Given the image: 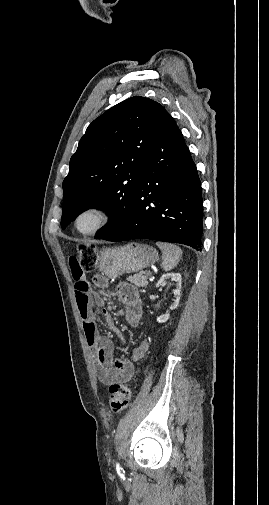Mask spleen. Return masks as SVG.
Returning a JSON list of instances; mask_svg holds the SVG:
<instances>
[{"label":"spleen","mask_w":269,"mask_h":505,"mask_svg":"<svg viewBox=\"0 0 269 505\" xmlns=\"http://www.w3.org/2000/svg\"><path fill=\"white\" fill-rule=\"evenodd\" d=\"M156 245L162 252L163 270L170 271L173 268H175L182 257L181 248L172 243H165V242H156Z\"/></svg>","instance_id":"obj_1"}]
</instances>
